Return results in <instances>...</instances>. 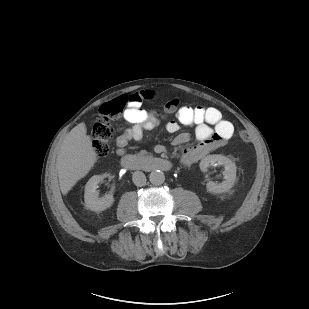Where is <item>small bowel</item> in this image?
Listing matches in <instances>:
<instances>
[{
	"label": "small bowel",
	"mask_w": 309,
	"mask_h": 309,
	"mask_svg": "<svg viewBox=\"0 0 309 309\" xmlns=\"http://www.w3.org/2000/svg\"><path fill=\"white\" fill-rule=\"evenodd\" d=\"M152 92L145 91L132 95L124 112V119L130 124L117 139V153L123 155L129 140H140L144 130H151L158 126L159 116L142 107L145 98H151ZM163 117V116H162ZM177 120L166 123L169 133H176L180 126L195 127L196 144L183 151L181 163L191 165L209 153L224 145L234 134V125L223 119L221 112L214 108L202 106H182L176 112ZM190 140L188 133H180L174 139V144L183 145Z\"/></svg>",
	"instance_id": "1"
}]
</instances>
